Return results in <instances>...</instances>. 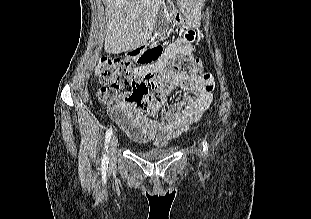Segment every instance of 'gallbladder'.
Masks as SVG:
<instances>
[{"label": "gallbladder", "mask_w": 311, "mask_h": 219, "mask_svg": "<svg viewBox=\"0 0 311 219\" xmlns=\"http://www.w3.org/2000/svg\"><path fill=\"white\" fill-rule=\"evenodd\" d=\"M157 27L163 32L168 28L167 22L163 19L161 14L157 17Z\"/></svg>", "instance_id": "1"}]
</instances>
